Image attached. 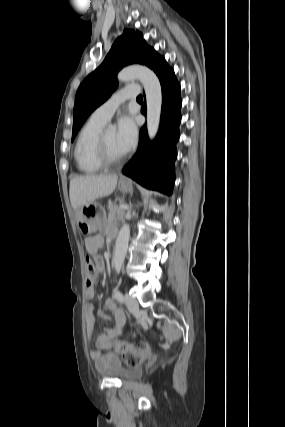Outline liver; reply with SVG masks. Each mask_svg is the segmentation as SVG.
<instances>
[{
    "label": "liver",
    "mask_w": 285,
    "mask_h": 427,
    "mask_svg": "<svg viewBox=\"0 0 285 427\" xmlns=\"http://www.w3.org/2000/svg\"><path fill=\"white\" fill-rule=\"evenodd\" d=\"M117 175L76 176L70 181L69 195L72 208L78 212L98 198L110 195L116 188Z\"/></svg>",
    "instance_id": "liver-1"
}]
</instances>
